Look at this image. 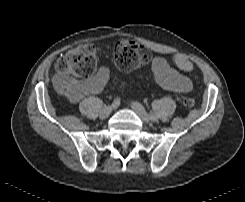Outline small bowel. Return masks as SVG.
Returning <instances> with one entry per match:
<instances>
[{
    "instance_id": "obj_1",
    "label": "small bowel",
    "mask_w": 245,
    "mask_h": 202,
    "mask_svg": "<svg viewBox=\"0 0 245 202\" xmlns=\"http://www.w3.org/2000/svg\"><path fill=\"white\" fill-rule=\"evenodd\" d=\"M173 64L181 71H188L183 68V64L189 66L191 63L182 54L175 53L172 55ZM149 76L154 79L160 86L176 93H186L192 87L191 79L172 67L165 59L155 58L147 73L140 74L139 77L143 78ZM110 78V71L101 67L92 77L82 82H75L74 89L69 92L66 97L70 103H77L82 98L90 94H96L104 90Z\"/></svg>"
}]
</instances>
